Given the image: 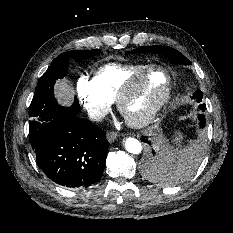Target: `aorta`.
Returning a JSON list of instances; mask_svg holds the SVG:
<instances>
[{
    "instance_id": "obj_1",
    "label": "aorta",
    "mask_w": 233,
    "mask_h": 233,
    "mask_svg": "<svg viewBox=\"0 0 233 233\" xmlns=\"http://www.w3.org/2000/svg\"><path fill=\"white\" fill-rule=\"evenodd\" d=\"M125 148L132 154H139L142 151L141 143L137 139L131 137L126 139Z\"/></svg>"
}]
</instances>
